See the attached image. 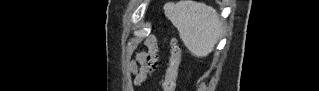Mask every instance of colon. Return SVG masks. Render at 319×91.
Masks as SVG:
<instances>
[{"label":"colon","instance_id":"obj_1","mask_svg":"<svg viewBox=\"0 0 319 91\" xmlns=\"http://www.w3.org/2000/svg\"><path fill=\"white\" fill-rule=\"evenodd\" d=\"M140 63L143 69H153L157 64V52L154 46H151L149 53L144 54L140 58ZM181 68V47L173 38L171 40V55L169 67L166 72L165 81L163 83L164 91H175L177 85V77Z\"/></svg>","mask_w":319,"mask_h":91}]
</instances>
